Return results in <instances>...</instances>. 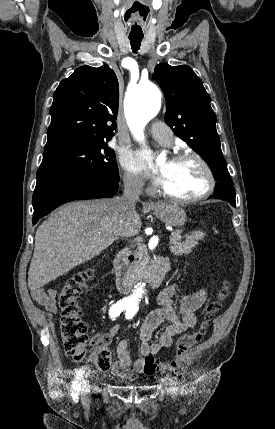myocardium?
Masks as SVG:
<instances>
[{"label": "myocardium", "mask_w": 275, "mask_h": 429, "mask_svg": "<svg viewBox=\"0 0 275 429\" xmlns=\"http://www.w3.org/2000/svg\"><path fill=\"white\" fill-rule=\"evenodd\" d=\"M190 159L197 161L202 166L207 178L206 189L201 194L196 196L179 197L169 193L161 186L160 191L165 198L174 202L189 204V203H196V202L202 201L208 198L214 192L215 185H216L214 172L211 166L209 165V163L201 155L195 152L183 151V152L175 153L171 157L172 162H179V161L190 160Z\"/></svg>", "instance_id": "obj_1"}]
</instances>
